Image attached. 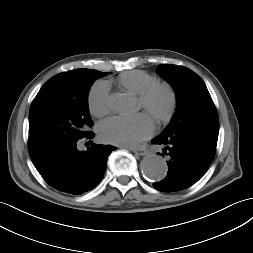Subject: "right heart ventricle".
Returning a JSON list of instances; mask_svg holds the SVG:
<instances>
[{"label": "right heart ventricle", "instance_id": "1", "mask_svg": "<svg viewBox=\"0 0 253 253\" xmlns=\"http://www.w3.org/2000/svg\"><path fill=\"white\" fill-rule=\"evenodd\" d=\"M118 82L127 91L140 95L146 89L158 83V79L147 72L132 70L122 73L118 78Z\"/></svg>", "mask_w": 253, "mask_h": 253}]
</instances>
